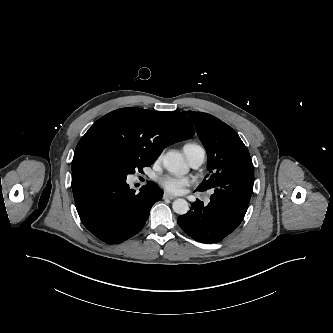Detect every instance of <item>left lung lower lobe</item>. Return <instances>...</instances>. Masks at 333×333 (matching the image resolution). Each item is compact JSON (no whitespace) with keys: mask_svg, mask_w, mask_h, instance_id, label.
I'll use <instances>...</instances> for the list:
<instances>
[{"mask_svg":"<svg viewBox=\"0 0 333 333\" xmlns=\"http://www.w3.org/2000/svg\"><path fill=\"white\" fill-rule=\"evenodd\" d=\"M235 168V173L227 168L219 175L207 206L197 199L188 214L177 218L182 230L194 240L219 242L242 222L253 192L254 166L251 159H245Z\"/></svg>","mask_w":333,"mask_h":333,"instance_id":"obj_1","label":"left lung lower lobe"}]
</instances>
